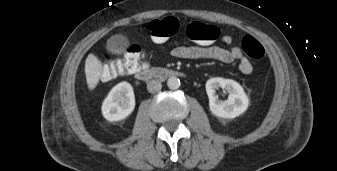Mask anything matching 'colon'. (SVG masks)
Here are the masks:
<instances>
[{
	"mask_svg": "<svg viewBox=\"0 0 337 171\" xmlns=\"http://www.w3.org/2000/svg\"><path fill=\"white\" fill-rule=\"evenodd\" d=\"M149 41L153 45H163L168 38L179 31V22L174 17L152 20L148 25ZM187 36L198 44H212L220 35V29L211 24L199 21L191 22L187 27ZM241 46L247 56L254 60H262L265 52L262 44L253 36L245 35ZM144 52L138 45H132L119 56L106 60L102 73V80H111L119 76L132 75L142 67Z\"/></svg>",
	"mask_w": 337,
	"mask_h": 171,
	"instance_id": "1",
	"label": "colon"
}]
</instances>
